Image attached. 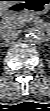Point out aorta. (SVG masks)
I'll return each mask as SVG.
<instances>
[{"instance_id": "762f6f07", "label": "aorta", "mask_w": 50, "mask_h": 111, "mask_svg": "<svg viewBox=\"0 0 50 111\" xmlns=\"http://www.w3.org/2000/svg\"><path fill=\"white\" fill-rule=\"evenodd\" d=\"M24 41L27 44L35 45L38 42V37L34 33H28L25 35Z\"/></svg>"}]
</instances>
